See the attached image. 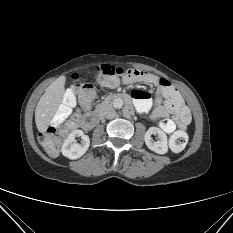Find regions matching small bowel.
Instances as JSON below:
<instances>
[{
  "label": "small bowel",
  "mask_w": 233,
  "mask_h": 233,
  "mask_svg": "<svg viewBox=\"0 0 233 233\" xmlns=\"http://www.w3.org/2000/svg\"><path fill=\"white\" fill-rule=\"evenodd\" d=\"M160 77L147 72L140 71L135 78L125 77L122 82L125 84L150 83L156 86L154 100L151 95L142 90H135L132 97L135 101L137 110L141 113L148 112L151 108L150 118L160 120V128L167 134L173 133L176 129L184 130L191 121V115L185 106L180 93L176 90V100L173 101L160 85ZM93 96L82 100L80 105L84 111L90 109Z\"/></svg>",
  "instance_id": "small-bowel-1"
}]
</instances>
